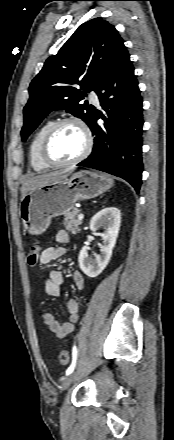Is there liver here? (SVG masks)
I'll return each instance as SVG.
<instances>
[{
	"mask_svg": "<svg viewBox=\"0 0 174 440\" xmlns=\"http://www.w3.org/2000/svg\"><path fill=\"white\" fill-rule=\"evenodd\" d=\"M63 171H55L38 175L27 180L21 189V201L31 190L66 177Z\"/></svg>",
	"mask_w": 174,
	"mask_h": 440,
	"instance_id": "6515ba94",
	"label": "liver"
}]
</instances>
